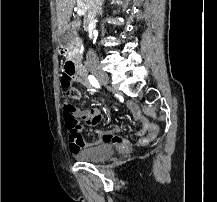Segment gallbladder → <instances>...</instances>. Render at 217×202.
Listing matches in <instances>:
<instances>
[{
	"label": "gallbladder",
	"mask_w": 217,
	"mask_h": 202,
	"mask_svg": "<svg viewBox=\"0 0 217 202\" xmlns=\"http://www.w3.org/2000/svg\"><path fill=\"white\" fill-rule=\"evenodd\" d=\"M73 38H75V34H73L72 30H66L63 34H60L59 42L61 46H69Z\"/></svg>",
	"instance_id": "1"
}]
</instances>
